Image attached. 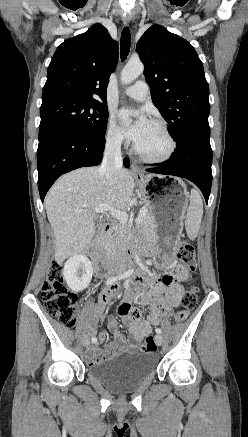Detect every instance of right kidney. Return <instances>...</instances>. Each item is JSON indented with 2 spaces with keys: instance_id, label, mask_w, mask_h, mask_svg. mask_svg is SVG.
I'll list each match as a JSON object with an SVG mask.
<instances>
[{
  "instance_id": "right-kidney-1",
  "label": "right kidney",
  "mask_w": 248,
  "mask_h": 437,
  "mask_svg": "<svg viewBox=\"0 0 248 437\" xmlns=\"http://www.w3.org/2000/svg\"><path fill=\"white\" fill-rule=\"evenodd\" d=\"M92 275V264L85 255H74L64 265V279L68 287L74 292H80L87 288L91 282Z\"/></svg>"
}]
</instances>
